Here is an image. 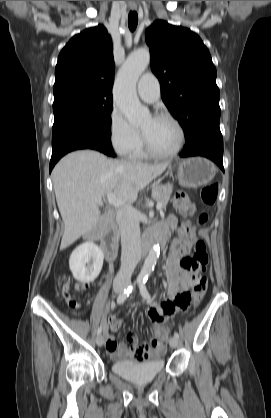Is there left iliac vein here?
Wrapping results in <instances>:
<instances>
[{
  "label": "left iliac vein",
  "mask_w": 271,
  "mask_h": 418,
  "mask_svg": "<svg viewBox=\"0 0 271 418\" xmlns=\"http://www.w3.org/2000/svg\"><path fill=\"white\" fill-rule=\"evenodd\" d=\"M169 345L172 348H176L178 346V339L175 337L170 338Z\"/></svg>",
  "instance_id": "4c4485c4"
}]
</instances>
